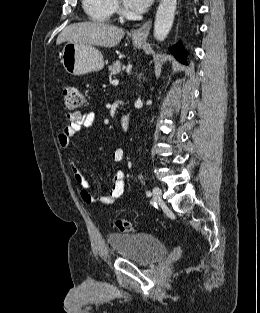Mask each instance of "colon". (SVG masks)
<instances>
[{
	"label": "colon",
	"instance_id": "obj_1",
	"mask_svg": "<svg viewBox=\"0 0 260 313\" xmlns=\"http://www.w3.org/2000/svg\"><path fill=\"white\" fill-rule=\"evenodd\" d=\"M64 107L67 110H77L84 106L85 97L82 92L74 84H65L62 87ZM114 227L121 233H130L135 230L132 221L125 219H116L113 223Z\"/></svg>",
	"mask_w": 260,
	"mask_h": 313
}]
</instances>
